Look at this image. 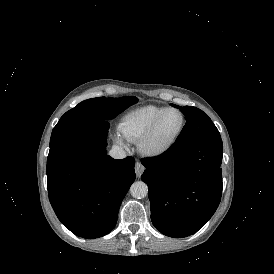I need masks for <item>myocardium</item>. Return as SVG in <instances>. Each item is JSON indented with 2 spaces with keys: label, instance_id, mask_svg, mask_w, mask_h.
I'll use <instances>...</instances> for the list:
<instances>
[{
  "label": "myocardium",
  "instance_id": "f54148a6",
  "mask_svg": "<svg viewBox=\"0 0 274 274\" xmlns=\"http://www.w3.org/2000/svg\"><path fill=\"white\" fill-rule=\"evenodd\" d=\"M171 111H177L182 116V124L179 129V131L175 134V136L169 141V143L160 150H152L148 147V141L151 139V137L155 134L157 131L161 121L166 116L167 113ZM187 125V117L184 111L178 107H168L165 108V110L155 119V121L148 127V129L141 135V137L138 139V151L141 155H143L146 158L149 159H159L168 154L178 139L183 134L185 128Z\"/></svg>",
  "mask_w": 274,
  "mask_h": 274
}]
</instances>
